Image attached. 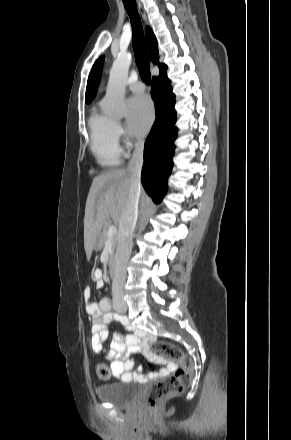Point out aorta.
Wrapping results in <instances>:
<instances>
[{
    "label": "aorta",
    "instance_id": "762f6f07",
    "mask_svg": "<svg viewBox=\"0 0 291 440\" xmlns=\"http://www.w3.org/2000/svg\"><path fill=\"white\" fill-rule=\"evenodd\" d=\"M132 57L128 52H120L115 59L109 76L103 111L116 119L126 115L125 85L128 78Z\"/></svg>",
    "mask_w": 291,
    "mask_h": 440
}]
</instances>
